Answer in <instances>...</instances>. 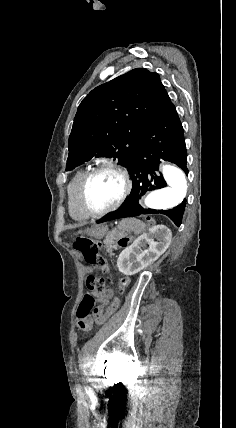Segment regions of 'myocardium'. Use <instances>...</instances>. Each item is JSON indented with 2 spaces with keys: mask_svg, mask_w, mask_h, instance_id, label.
<instances>
[{
  "mask_svg": "<svg viewBox=\"0 0 236 428\" xmlns=\"http://www.w3.org/2000/svg\"><path fill=\"white\" fill-rule=\"evenodd\" d=\"M102 172H113L119 175L124 182V191L121 197L119 198V200L115 204L102 210H95L89 205L87 201V187L89 182L92 180V178ZM132 190H133V181H132L129 169L123 164H120L118 162L107 161L97 165L96 167L92 168L86 173V175L84 176V178L80 183L79 200L82 208L90 216H103L118 210L125 203L127 198L130 196V194L132 193Z\"/></svg>",
  "mask_w": 236,
  "mask_h": 428,
  "instance_id": "obj_1",
  "label": "myocardium"
}]
</instances>
